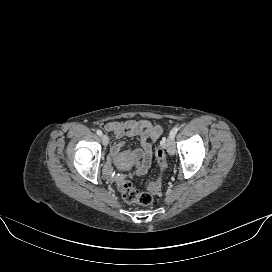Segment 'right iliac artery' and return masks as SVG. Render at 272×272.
<instances>
[{
  "instance_id": "1",
  "label": "right iliac artery",
  "mask_w": 272,
  "mask_h": 272,
  "mask_svg": "<svg viewBox=\"0 0 272 272\" xmlns=\"http://www.w3.org/2000/svg\"><path fill=\"white\" fill-rule=\"evenodd\" d=\"M96 133H97V135H99V136L102 135V131H101V130H97Z\"/></svg>"
}]
</instances>
